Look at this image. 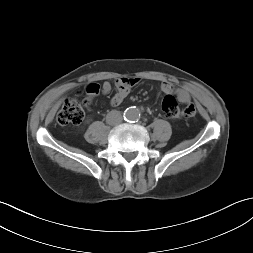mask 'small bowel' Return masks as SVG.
Listing matches in <instances>:
<instances>
[{"mask_svg": "<svg viewBox=\"0 0 253 253\" xmlns=\"http://www.w3.org/2000/svg\"><path fill=\"white\" fill-rule=\"evenodd\" d=\"M139 82L140 79L136 77H123L117 79L115 82L116 91L110 100L111 105H120L128 96L130 89ZM86 89L88 93H98L99 90H101L103 94H108L111 91L112 86L109 82H105L100 88L99 85L92 83L89 84ZM159 90L165 94L174 93L180 102L186 104L183 105L180 110L181 116L184 119H191L195 115V106L192 104L191 96L186 89L182 87H174L170 82L163 81L160 83Z\"/></svg>", "mask_w": 253, "mask_h": 253, "instance_id": "obj_1", "label": "small bowel"}]
</instances>
